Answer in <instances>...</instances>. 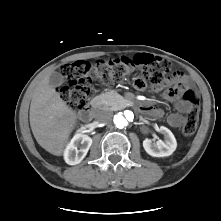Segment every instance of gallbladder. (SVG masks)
Listing matches in <instances>:
<instances>
[{
  "mask_svg": "<svg viewBox=\"0 0 221 221\" xmlns=\"http://www.w3.org/2000/svg\"><path fill=\"white\" fill-rule=\"evenodd\" d=\"M49 83L53 87H58L64 83V77L59 72H52L49 77Z\"/></svg>",
  "mask_w": 221,
  "mask_h": 221,
  "instance_id": "gallbladder-1",
  "label": "gallbladder"
}]
</instances>
